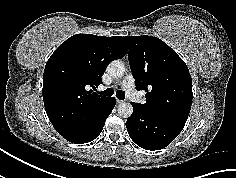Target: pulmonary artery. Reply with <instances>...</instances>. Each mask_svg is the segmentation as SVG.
<instances>
[{
  "instance_id": "1",
  "label": "pulmonary artery",
  "mask_w": 236,
  "mask_h": 178,
  "mask_svg": "<svg viewBox=\"0 0 236 178\" xmlns=\"http://www.w3.org/2000/svg\"><path fill=\"white\" fill-rule=\"evenodd\" d=\"M122 87L128 97L133 100L138 99L139 92L135 89L134 78L131 75L125 77V79L122 81Z\"/></svg>"
}]
</instances>
